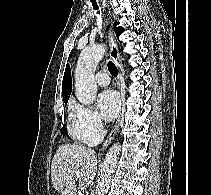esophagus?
<instances>
[{
    "mask_svg": "<svg viewBox=\"0 0 211 195\" xmlns=\"http://www.w3.org/2000/svg\"><path fill=\"white\" fill-rule=\"evenodd\" d=\"M108 38H109V44H110L109 57L115 63V65H116V67L118 69L119 77H120L119 88H120V91H121V99H122V101H124L125 97H124V91H123V86H122L123 67H122V64L120 62L119 50H118L116 37H115V34H114L111 26L109 27V30H108ZM120 123H121V117L118 118L116 124L114 125L112 131L110 132V134H109V136H108V138H107V140H106V142H105V144L103 146V149H101V153L100 154L103 153V151L107 148V146L115 138V136H116V134L118 132Z\"/></svg>",
    "mask_w": 211,
    "mask_h": 195,
    "instance_id": "1",
    "label": "esophagus"
}]
</instances>
